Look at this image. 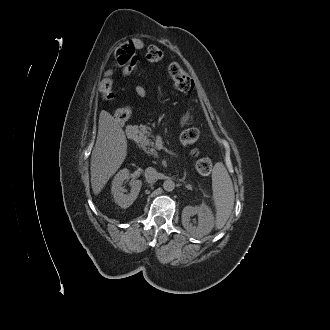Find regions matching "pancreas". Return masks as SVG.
Segmentation results:
<instances>
[{
	"label": "pancreas",
	"mask_w": 330,
	"mask_h": 330,
	"mask_svg": "<svg viewBox=\"0 0 330 330\" xmlns=\"http://www.w3.org/2000/svg\"><path fill=\"white\" fill-rule=\"evenodd\" d=\"M150 133L148 132H143L140 135V145L141 147L145 150L146 153L154 155L155 157L157 156L156 150L153 148L154 147V142L149 139ZM152 147V148H150Z\"/></svg>",
	"instance_id": "pancreas-1"
}]
</instances>
